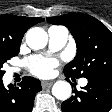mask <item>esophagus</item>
<instances>
[{
	"label": "esophagus",
	"mask_w": 112,
	"mask_h": 112,
	"mask_svg": "<svg viewBox=\"0 0 112 112\" xmlns=\"http://www.w3.org/2000/svg\"><path fill=\"white\" fill-rule=\"evenodd\" d=\"M54 81H42V87L45 88H50L52 86Z\"/></svg>",
	"instance_id": "esophagus-1"
}]
</instances>
